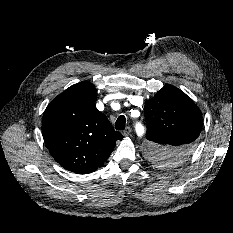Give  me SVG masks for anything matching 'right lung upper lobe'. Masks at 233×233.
<instances>
[{
  "label": "right lung upper lobe",
  "mask_w": 233,
  "mask_h": 233,
  "mask_svg": "<svg viewBox=\"0 0 233 233\" xmlns=\"http://www.w3.org/2000/svg\"><path fill=\"white\" fill-rule=\"evenodd\" d=\"M97 90L89 81L72 85L47 106L42 135L53 158L77 174L97 170L123 138L97 110Z\"/></svg>",
  "instance_id": "cb5924a9"
}]
</instances>
